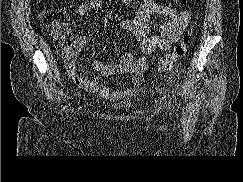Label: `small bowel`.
<instances>
[{"label":"small bowel","mask_w":243,"mask_h":182,"mask_svg":"<svg viewBox=\"0 0 243 182\" xmlns=\"http://www.w3.org/2000/svg\"><path fill=\"white\" fill-rule=\"evenodd\" d=\"M101 8V0H87L77 8L80 15H88ZM153 15L168 17V20L159 25V33L152 34L150 20ZM191 14L187 10H176L172 7L159 4L155 0H144L140 6L135 19L132 21H121L119 26L131 32L140 45V56L133 53L124 54L118 62L104 63L98 59L92 63L93 69L102 76L117 74H130L133 86L131 88L112 91L109 85L100 78L90 79L80 74L76 67L75 56L77 52L87 43V38L80 36L75 41V54L65 58V68L69 76L82 89L98 94L103 99L118 100L135 95L139 87L143 84V74L148 68L146 56L159 48L169 50L176 43L187 24Z\"/></svg>","instance_id":"obj_1"}]
</instances>
